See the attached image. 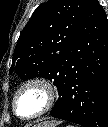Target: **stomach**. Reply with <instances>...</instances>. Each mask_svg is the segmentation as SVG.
<instances>
[{
	"label": "stomach",
	"mask_w": 108,
	"mask_h": 127,
	"mask_svg": "<svg viewBox=\"0 0 108 127\" xmlns=\"http://www.w3.org/2000/svg\"><path fill=\"white\" fill-rule=\"evenodd\" d=\"M58 124H49L47 126H43L41 123L40 124H37V125H34V127H57Z\"/></svg>",
	"instance_id": "1"
}]
</instances>
